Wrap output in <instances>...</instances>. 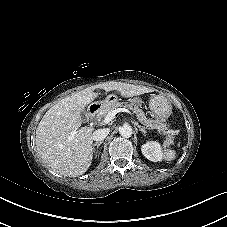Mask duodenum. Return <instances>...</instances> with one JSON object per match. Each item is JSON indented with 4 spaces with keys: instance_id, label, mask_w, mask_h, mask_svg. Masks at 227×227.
<instances>
[{
    "instance_id": "410a0bca",
    "label": "duodenum",
    "mask_w": 227,
    "mask_h": 227,
    "mask_svg": "<svg viewBox=\"0 0 227 227\" xmlns=\"http://www.w3.org/2000/svg\"><path fill=\"white\" fill-rule=\"evenodd\" d=\"M98 111V107L97 106H91L88 110V118L92 119L96 116Z\"/></svg>"
}]
</instances>
